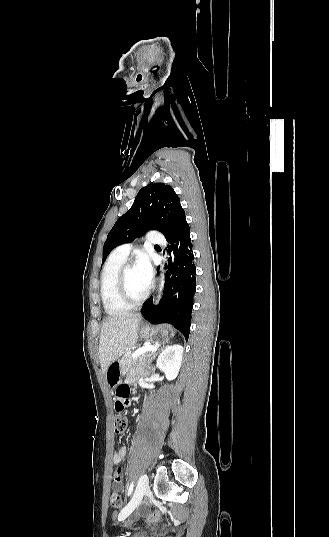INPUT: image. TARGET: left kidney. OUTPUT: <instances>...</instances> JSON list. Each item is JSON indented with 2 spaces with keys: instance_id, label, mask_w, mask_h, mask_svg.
Returning a JSON list of instances; mask_svg holds the SVG:
<instances>
[{
  "instance_id": "obj_1",
  "label": "left kidney",
  "mask_w": 329,
  "mask_h": 537,
  "mask_svg": "<svg viewBox=\"0 0 329 537\" xmlns=\"http://www.w3.org/2000/svg\"><path fill=\"white\" fill-rule=\"evenodd\" d=\"M183 351L181 345H170L159 355L157 367L165 373L168 380L177 377L182 363Z\"/></svg>"
}]
</instances>
